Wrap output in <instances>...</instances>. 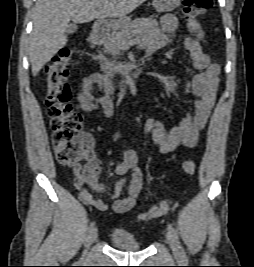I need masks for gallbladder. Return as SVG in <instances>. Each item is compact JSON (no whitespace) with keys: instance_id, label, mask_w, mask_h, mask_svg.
Wrapping results in <instances>:
<instances>
[{"instance_id":"obj_1","label":"gallbladder","mask_w":254,"mask_h":267,"mask_svg":"<svg viewBox=\"0 0 254 267\" xmlns=\"http://www.w3.org/2000/svg\"><path fill=\"white\" fill-rule=\"evenodd\" d=\"M77 29V25L75 23L68 24L66 27V32L67 33H74Z\"/></svg>"}]
</instances>
